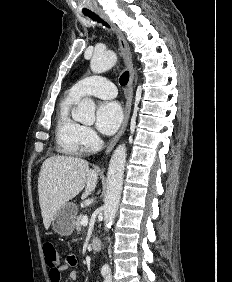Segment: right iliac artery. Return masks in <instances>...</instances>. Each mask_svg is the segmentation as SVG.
<instances>
[{"mask_svg":"<svg viewBox=\"0 0 232 282\" xmlns=\"http://www.w3.org/2000/svg\"><path fill=\"white\" fill-rule=\"evenodd\" d=\"M102 275H103V276H105V275H106V272H105V271H104V272H102Z\"/></svg>","mask_w":232,"mask_h":282,"instance_id":"1","label":"right iliac artery"}]
</instances>
